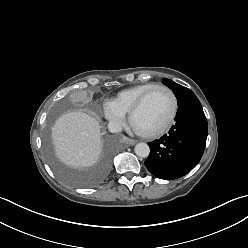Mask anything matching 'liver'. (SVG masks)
<instances>
[{
	"label": "liver",
	"instance_id": "1",
	"mask_svg": "<svg viewBox=\"0 0 248 248\" xmlns=\"http://www.w3.org/2000/svg\"><path fill=\"white\" fill-rule=\"evenodd\" d=\"M52 140L57 157L74 168L94 165L103 147L99 121L84 112L62 115L52 128Z\"/></svg>",
	"mask_w": 248,
	"mask_h": 248
}]
</instances>
